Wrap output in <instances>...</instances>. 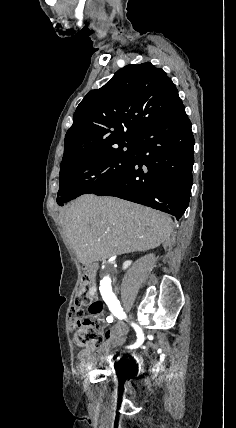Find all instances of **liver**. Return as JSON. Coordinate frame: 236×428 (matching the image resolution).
<instances>
[{
  "label": "liver",
  "mask_w": 236,
  "mask_h": 428,
  "mask_svg": "<svg viewBox=\"0 0 236 428\" xmlns=\"http://www.w3.org/2000/svg\"><path fill=\"white\" fill-rule=\"evenodd\" d=\"M65 238L81 264L154 250L169 238L168 214L119 198L80 196L59 214Z\"/></svg>",
  "instance_id": "1"
}]
</instances>
